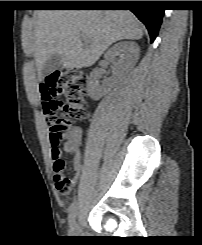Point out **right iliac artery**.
<instances>
[{
  "label": "right iliac artery",
  "instance_id": "1",
  "mask_svg": "<svg viewBox=\"0 0 202 245\" xmlns=\"http://www.w3.org/2000/svg\"><path fill=\"white\" fill-rule=\"evenodd\" d=\"M77 209H78V202L75 199L70 205V213H69V224L70 225H72V223L75 221V217L77 215Z\"/></svg>",
  "mask_w": 202,
  "mask_h": 245
}]
</instances>
